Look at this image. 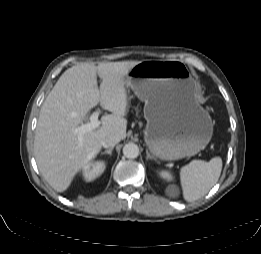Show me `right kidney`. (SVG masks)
<instances>
[{"label":"right kidney","mask_w":261,"mask_h":254,"mask_svg":"<svg viewBox=\"0 0 261 254\" xmlns=\"http://www.w3.org/2000/svg\"><path fill=\"white\" fill-rule=\"evenodd\" d=\"M105 170V162L104 161H96L92 163H88L82 169V174L84 180L87 182L92 181L99 177Z\"/></svg>","instance_id":"ca27d5eb"}]
</instances>
